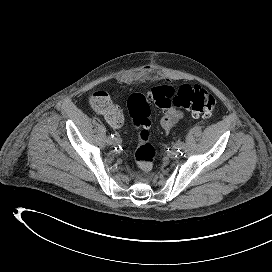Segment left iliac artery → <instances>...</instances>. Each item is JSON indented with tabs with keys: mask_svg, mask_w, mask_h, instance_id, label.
Instances as JSON below:
<instances>
[{
	"mask_svg": "<svg viewBox=\"0 0 272 272\" xmlns=\"http://www.w3.org/2000/svg\"><path fill=\"white\" fill-rule=\"evenodd\" d=\"M184 146H185V144H184L183 141H178V142L176 143L175 148L177 149L178 152H182V151L184 150ZM182 154H183V153H182Z\"/></svg>",
	"mask_w": 272,
	"mask_h": 272,
	"instance_id": "left-iliac-artery-1",
	"label": "left iliac artery"
}]
</instances>
